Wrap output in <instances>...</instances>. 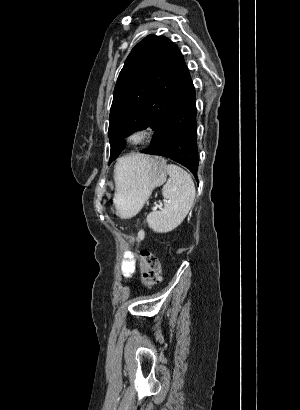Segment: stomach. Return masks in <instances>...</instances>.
Here are the masks:
<instances>
[{
  "label": "stomach",
  "instance_id": "1",
  "mask_svg": "<svg viewBox=\"0 0 300 410\" xmlns=\"http://www.w3.org/2000/svg\"><path fill=\"white\" fill-rule=\"evenodd\" d=\"M125 158L129 160L130 168L120 173L113 210L121 218H131L142 209L153 189L166 181L167 165L160 157L146 156L137 163Z\"/></svg>",
  "mask_w": 300,
  "mask_h": 410
}]
</instances>
